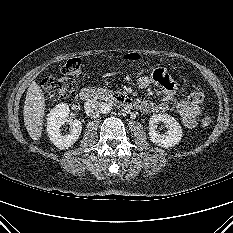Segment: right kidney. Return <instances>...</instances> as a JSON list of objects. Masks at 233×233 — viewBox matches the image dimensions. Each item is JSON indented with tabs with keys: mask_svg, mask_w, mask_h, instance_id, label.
<instances>
[{
	"mask_svg": "<svg viewBox=\"0 0 233 233\" xmlns=\"http://www.w3.org/2000/svg\"><path fill=\"white\" fill-rule=\"evenodd\" d=\"M68 104L56 105L50 110L47 117V133L52 143L59 149H68L79 138L82 131V123L79 120L71 121V130L67 135H62L61 127L65 124L69 116Z\"/></svg>",
	"mask_w": 233,
	"mask_h": 233,
	"instance_id": "right-kidney-1",
	"label": "right kidney"
}]
</instances>
